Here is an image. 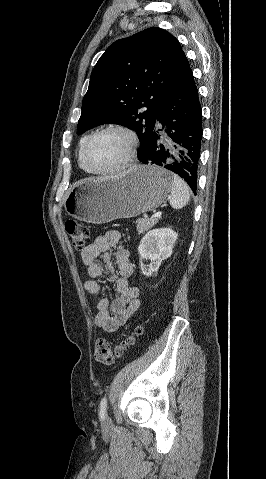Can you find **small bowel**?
<instances>
[{"mask_svg":"<svg viewBox=\"0 0 266 479\" xmlns=\"http://www.w3.org/2000/svg\"><path fill=\"white\" fill-rule=\"evenodd\" d=\"M112 248L117 249V273L109 256ZM81 259L89 275V279L84 282L85 291L100 296L96 304L95 324L106 332H114L130 321L139 307L140 294L139 288L128 282L133 273V266L128 251L122 246L121 233L112 230L96 236L93 242L82 250ZM99 259L103 260L108 272L107 280L114 284L115 296L111 300L105 296L99 282V278L105 273V267L98 261Z\"/></svg>","mask_w":266,"mask_h":479,"instance_id":"obj_1","label":"small bowel"}]
</instances>
